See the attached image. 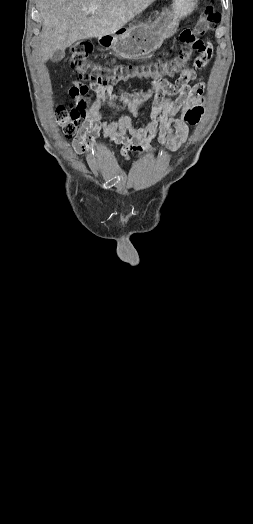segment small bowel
I'll return each instance as SVG.
<instances>
[{
	"instance_id": "obj_1",
	"label": "small bowel",
	"mask_w": 253,
	"mask_h": 524,
	"mask_svg": "<svg viewBox=\"0 0 253 524\" xmlns=\"http://www.w3.org/2000/svg\"><path fill=\"white\" fill-rule=\"evenodd\" d=\"M179 37L183 44H190L189 49L194 52L193 68L182 70L174 84L171 77L164 79L162 74H153V82L149 88L140 92L114 91L113 87L94 90L96 97L90 103L86 119L72 142L76 152H93L100 134L101 138L109 139L108 147L122 145L121 155L125 160L130 159L132 152L142 157L147 151L158 152L165 148L176 151L181 148L188 138L189 124H192L186 115L201 103L203 97V85L190 84L195 78V70L202 68L209 61L215 45L201 43V36L193 33L188 25L181 27ZM205 41H209V38H205ZM169 58H172V55H169ZM82 89H85L82 95L86 96L89 87L82 85ZM167 94H175L177 97L173 100L168 99L165 97ZM70 95L75 99L81 97L76 89L71 90ZM150 100H153L150 116L143 120L139 127H135L128 116H122L117 120L105 119L102 109L105 104L116 109L126 107L134 117L139 118L140 107ZM155 136L159 145L152 147L150 141Z\"/></svg>"
}]
</instances>
